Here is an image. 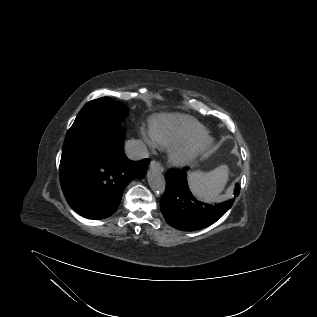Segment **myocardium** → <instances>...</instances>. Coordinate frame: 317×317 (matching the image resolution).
<instances>
[{
  "label": "myocardium",
  "mask_w": 317,
  "mask_h": 317,
  "mask_svg": "<svg viewBox=\"0 0 317 317\" xmlns=\"http://www.w3.org/2000/svg\"><path fill=\"white\" fill-rule=\"evenodd\" d=\"M212 144V138L206 134L188 138L170 148L169 161L176 167L188 166L205 153Z\"/></svg>",
  "instance_id": "myocardium-1"
}]
</instances>
